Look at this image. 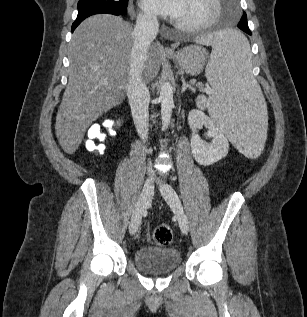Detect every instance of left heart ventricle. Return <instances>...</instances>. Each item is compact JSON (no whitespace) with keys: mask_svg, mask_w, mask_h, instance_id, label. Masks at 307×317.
<instances>
[{"mask_svg":"<svg viewBox=\"0 0 307 317\" xmlns=\"http://www.w3.org/2000/svg\"><path fill=\"white\" fill-rule=\"evenodd\" d=\"M210 0H186L184 8L176 21L180 23L196 24L207 20L213 13Z\"/></svg>","mask_w":307,"mask_h":317,"instance_id":"b2bd125f","label":"left heart ventricle"}]
</instances>
